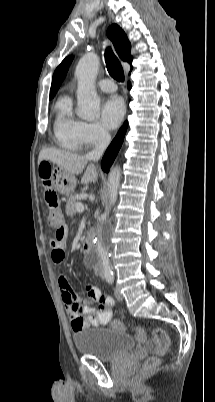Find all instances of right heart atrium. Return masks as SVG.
I'll list each match as a JSON object with an SVG mask.
<instances>
[{"label":"right heart atrium","instance_id":"1","mask_svg":"<svg viewBox=\"0 0 215 402\" xmlns=\"http://www.w3.org/2000/svg\"><path fill=\"white\" fill-rule=\"evenodd\" d=\"M78 137L81 145L94 146L108 138L107 131L97 122H80Z\"/></svg>","mask_w":215,"mask_h":402}]
</instances>
